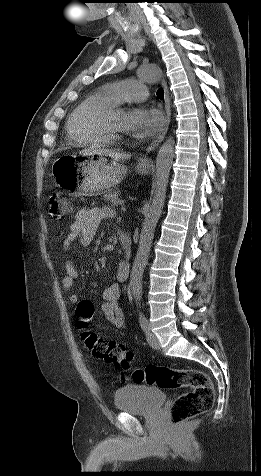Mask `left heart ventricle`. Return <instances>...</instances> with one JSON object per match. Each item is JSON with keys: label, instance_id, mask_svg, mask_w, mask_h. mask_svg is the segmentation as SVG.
I'll return each instance as SVG.
<instances>
[{"label": "left heart ventricle", "instance_id": "b2bd125f", "mask_svg": "<svg viewBox=\"0 0 261 476\" xmlns=\"http://www.w3.org/2000/svg\"><path fill=\"white\" fill-rule=\"evenodd\" d=\"M127 112L123 109H119L113 116V125L122 132H127L125 126Z\"/></svg>", "mask_w": 261, "mask_h": 476}]
</instances>
